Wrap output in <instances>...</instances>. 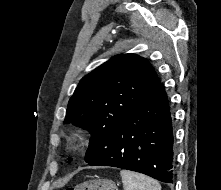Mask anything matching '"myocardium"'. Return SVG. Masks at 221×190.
Here are the masks:
<instances>
[{"mask_svg": "<svg viewBox=\"0 0 221 190\" xmlns=\"http://www.w3.org/2000/svg\"><path fill=\"white\" fill-rule=\"evenodd\" d=\"M69 142L72 145H76L81 141V134L79 132H74L69 137Z\"/></svg>", "mask_w": 221, "mask_h": 190, "instance_id": "myocardium-1", "label": "myocardium"}]
</instances>
